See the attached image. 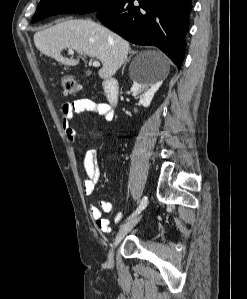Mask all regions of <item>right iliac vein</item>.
<instances>
[{
	"mask_svg": "<svg viewBox=\"0 0 247 299\" xmlns=\"http://www.w3.org/2000/svg\"><path fill=\"white\" fill-rule=\"evenodd\" d=\"M140 218H141V216L135 217L120 228L119 232L117 233V235L115 237L114 242L111 245V248H110V251L108 254V261L110 263L113 262L114 249L121 242V240L126 236V234L129 233L137 225V223L140 221Z\"/></svg>",
	"mask_w": 247,
	"mask_h": 299,
	"instance_id": "right-iliac-vein-1",
	"label": "right iliac vein"
}]
</instances>
